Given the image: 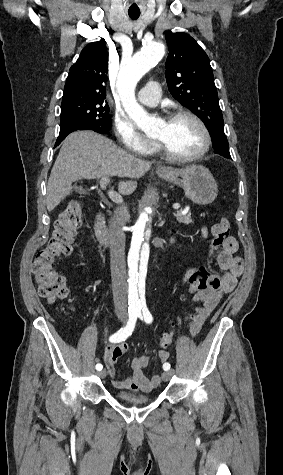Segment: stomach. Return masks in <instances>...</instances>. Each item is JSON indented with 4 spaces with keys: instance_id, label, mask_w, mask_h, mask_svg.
<instances>
[{
    "instance_id": "1",
    "label": "stomach",
    "mask_w": 283,
    "mask_h": 475,
    "mask_svg": "<svg viewBox=\"0 0 283 475\" xmlns=\"http://www.w3.org/2000/svg\"><path fill=\"white\" fill-rule=\"evenodd\" d=\"M156 174L162 180L183 188L187 198L199 206L212 204L218 196V186L211 172L204 166L192 164L185 168H167V172H160L157 168Z\"/></svg>"
}]
</instances>
